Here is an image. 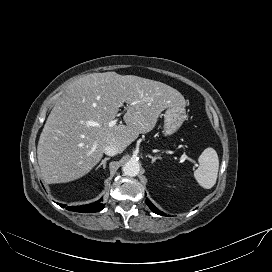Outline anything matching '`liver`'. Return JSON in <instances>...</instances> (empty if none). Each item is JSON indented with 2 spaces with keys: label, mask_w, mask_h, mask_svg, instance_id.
<instances>
[{
  "label": "liver",
  "mask_w": 272,
  "mask_h": 272,
  "mask_svg": "<svg viewBox=\"0 0 272 272\" xmlns=\"http://www.w3.org/2000/svg\"><path fill=\"white\" fill-rule=\"evenodd\" d=\"M122 103L128 105L126 125L109 127ZM174 105L185 106L184 97L159 81L116 72L76 80L51 110L39 138L37 158L43 180L66 183L84 176L101 160L107 145H116L122 153ZM90 121L98 126H89Z\"/></svg>",
  "instance_id": "obj_1"
}]
</instances>
